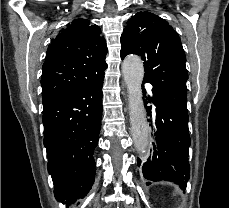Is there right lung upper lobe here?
<instances>
[{"label":"right lung upper lobe","mask_w":229,"mask_h":208,"mask_svg":"<svg viewBox=\"0 0 229 208\" xmlns=\"http://www.w3.org/2000/svg\"><path fill=\"white\" fill-rule=\"evenodd\" d=\"M100 33L99 26L79 18L68 23L52 40L41 76L43 105L104 72L107 47Z\"/></svg>","instance_id":"obj_1"}]
</instances>
